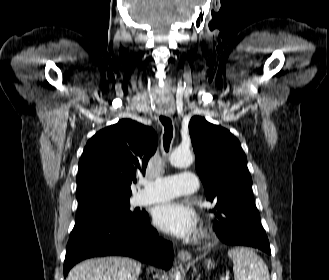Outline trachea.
<instances>
[{
  "instance_id": "obj_1",
  "label": "trachea",
  "mask_w": 329,
  "mask_h": 280,
  "mask_svg": "<svg viewBox=\"0 0 329 280\" xmlns=\"http://www.w3.org/2000/svg\"><path fill=\"white\" fill-rule=\"evenodd\" d=\"M160 121L164 126L163 145L166 152L169 151V146L173 137L172 122L168 117L160 116Z\"/></svg>"
}]
</instances>
